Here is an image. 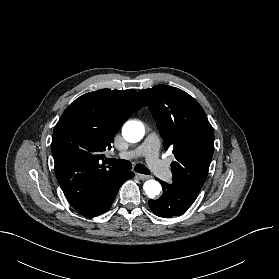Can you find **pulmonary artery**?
Masks as SVG:
<instances>
[{"label": "pulmonary artery", "mask_w": 279, "mask_h": 279, "mask_svg": "<svg viewBox=\"0 0 279 279\" xmlns=\"http://www.w3.org/2000/svg\"><path fill=\"white\" fill-rule=\"evenodd\" d=\"M160 141L157 135L149 134L145 141L135 150L123 153L122 158H137L144 156L148 165L161 179L168 180L171 176L166 164L159 158Z\"/></svg>", "instance_id": "1"}]
</instances>
